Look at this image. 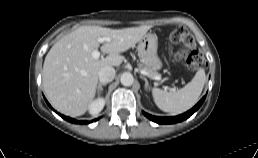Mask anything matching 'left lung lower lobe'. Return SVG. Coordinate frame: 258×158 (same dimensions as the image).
I'll return each mask as SVG.
<instances>
[{
	"mask_svg": "<svg viewBox=\"0 0 258 158\" xmlns=\"http://www.w3.org/2000/svg\"><path fill=\"white\" fill-rule=\"evenodd\" d=\"M205 96L189 111L185 112L184 114H181L179 116H174V117H158V116H152L148 113L143 112V114L152 120L153 122H156L158 124H172V123H177L181 122L187 118H189L194 112H196L200 106L203 104L205 100Z\"/></svg>",
	"mask_w": 258,
	"mask_h": 158,
	"instance_id": "obj_1",
	"label": "left lung lower lobe"
}]
</instances>
